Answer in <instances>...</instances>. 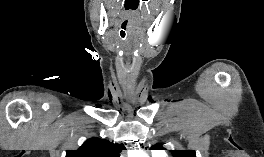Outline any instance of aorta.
<instances>
[{"mask_svg": "<svg viewBox=\"0 0 264 157\" xmlns=\"http://www.w3.org/2000/svg\"><path fill=\"white\" fill-rule=\"evenodd\" d=\"M128 157H146V154L141 151H130Z\"/></svg>", "mask_w": 264, "mask_h": 157, "instance_id": "aorta-1", "label": "aorta"}]
</instances>
